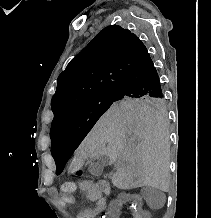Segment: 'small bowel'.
Wrapping results in <instances>:
<instances>
[{
  "instance_id": "obj_1",
  "label": "small bowel",
  "mask_w": 211,
  "mask_h": 218,
  "mask_svg": "<svg viewBox=\"0 0 211 218\" xmlns=\"http://www.w3.org/2000/svg\"><path fill=\"white\" fill-rule=\"evenodd\" d=\"M79 190L85 197L95 204L94 208L82 209L78 212L77 218H94L98 213L102 212L106 207V200L102 195V191L98 187V182L92 180L82 181ZM53 195L57 194L56 189H51ZM131 218H148V213L139 207L130 210Z\"/></svg>"
}]
</instances>
